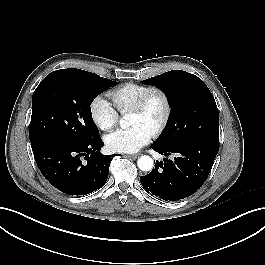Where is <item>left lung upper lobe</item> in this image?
<instances>
[{"instance_id": "1", "label": "left lung upper lobe", "mask_w": 265, "mask_h": 265, "mask_svg": "<svg viewBox=\"0 0 265 265\" xmlns=\"http://www.w3.org/2000/svg\"><path fill=\"white\" fill-rule=\"evenodd\" d=\"M142 83L161 89L171 107L167 130L155 145L169 147L196 143L219 150L217 105L200 78L182 70H173Z\"/></svg>"}]
</instances>
